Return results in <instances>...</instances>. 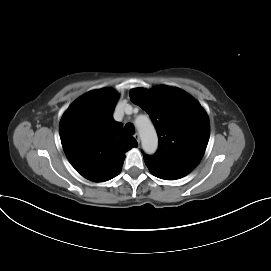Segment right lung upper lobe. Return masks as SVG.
Here are the masks:
<instances>
[{
	"label": "right lung upper lobe",
	"mask_w": 271,
	"mask_h": 271,
	"mask_svg": "<svg viewBox=\"0 0 271 271\" xmlns=\"http://www.w3.org/2000/svg\"><path fill=\"white\" fill-rule=\"evenodd\" d=\"M118 98L113 89L90 91L67 109L60 122V138L69 162L93 182L116 177L125 153L137 147L136 140L125 135L122 124L112 117Z\"/></svg>",
	"instance_id": "right-lung-upper-lobe-1"
}]
</instances>
